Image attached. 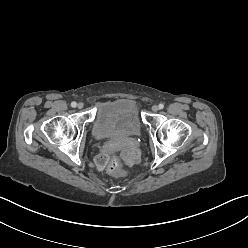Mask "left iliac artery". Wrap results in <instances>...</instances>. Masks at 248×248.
I'll list each match as a JSON object with an SVG mask.
<instances>
[{"mask_svg": "<svg viewBox=\"0 0 248 248\" xmlns=\"http://www.w3.org/2000/svg\"><path fill=\"white\" fill-rule=\"evenodd\" d=\"M159 108H160V109H163V108H164V104L160 103V104H159Z\"/></svg>", "mask_w": 248, "mask_h": 248, "instance_id": "1", "label": "left iliac artery"}]
</instances>
